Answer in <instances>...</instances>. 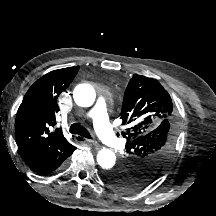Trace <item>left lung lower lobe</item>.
Returning a JSON list of instances; mask_svg holds the SVG:
<instances>
[{
	"instance_id": "1",
	"label": "left lung lower lobe",
	"mask_w": 216,
	"mask_h": 216,
	"mask_svg": "<svg viewBox=\"0 0 216 216\" xmlns=\"http://www.w3.org/2000/svg\"><path fill=\"white\" fill-rule=\"evenodd\" d=\"M105 175H106V174L103 175V179L105 178Z\"/></svg>"
}]
</instances>
